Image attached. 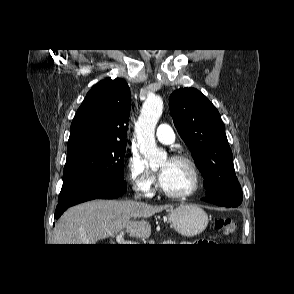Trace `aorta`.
Instances as JSON below:
<instances>
[{
    "label": "aorta",
    "mask_w": 294,
    "mask_h": 294,
    "mask_svg": "<svg viewBox=\"0 0 294 294\" xmlns=\"http://www.w3.org/2000/svg\"><path fill=\"white\" fill-rule=\"evenodd\" d=\"M162 111V98L160 96L148 97L142 106L135 129L140 151L152 169L158 168L167 159V153L159 149L155 142V127Z\"/></svg>",
    "instance_id": "obj_1"
}]
</instances>
